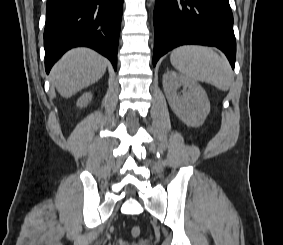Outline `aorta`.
<instances>
[{"label": "aorta", "mask_w": 283, "mask_h": 245, "mask_svg": "<svg viewBox=\"0 0 283 245\" xmlns=\"http://www.w3.org/2000/svg\"><path fill=\"white\" fill-rule=\"evenodd\" d=\"M155 2V0H151V3H154Z\"/></svg>", "instance_id": "obj_1"}]
</instances>
